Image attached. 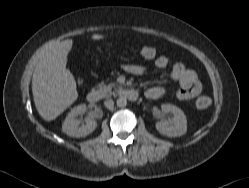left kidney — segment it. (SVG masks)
Returning a JSON list of instances; mask_svg holds the SVG:
<instances>
[{
	"label": "left kidney",
	"instance_id": "5707ae66",
	"mask_svg": "<svg viewBox=\"0 0 249 188\" xmlns=\"http://www.w3.org/2000/svg\"><path fill=\"white\" fill-rule=\"evenodd\" d=\"M161 110L164 113L173 114V118L169 122H157V131L168 137H177L184 135L187 131V120L184 112L180 108L171 104H162Z\"/></svg>",
	"mask_w": 249,
	"mask_h": 188
}]
</instances>
